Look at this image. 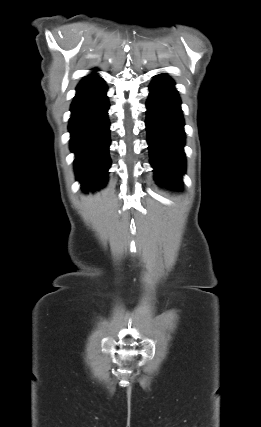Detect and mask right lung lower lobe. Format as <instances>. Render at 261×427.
Listing matches in <instances>:
<instances>
[{
  "instance_id": "98d812e1",
  "label": "right lung lower lobe",
  "mask_w": 261,
  "mask_h": 427,
  "mask_svg": "<svg viewBox=\"0 0 261 427\" xmlns=\"http://www.w3.org/2000/svg\"><path fill=\"white\" fill-rule=\"evenodd\" d=\"M76 90L71 105L70 147L76 154V177L83 190H95L105 185L111 165L107 87L101 77L88 75Z\"/></svg>"
}]
</instances>
